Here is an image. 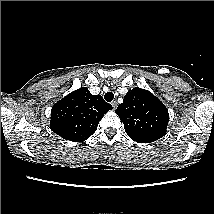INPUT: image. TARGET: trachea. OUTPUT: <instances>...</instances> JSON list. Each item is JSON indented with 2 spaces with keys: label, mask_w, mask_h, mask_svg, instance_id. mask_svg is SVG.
Wrapping results in <instances>:
<instances>
[{
  "label": "trachea",
  "mask_w": 214,
  "mask_h": 214,
  "mask_svg": "<svg viewBox=\"0 0 214 214\" xmlns=\"http://www.w3.org/2000/svg\"><path fill=\"white\" fill-rule=\"evenodd\" d=\"M114 98V94L112 92H107L105 95H104V99L107 101V102H111Z\"/></svg>",
  "instance_id": "1"
}]
</instances>
